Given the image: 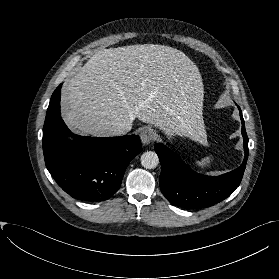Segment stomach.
<instances>
[{
	"label": "stomach",
	"mask_w": 279,
	"mask_h": 279,
	"mask_svg": "<svg viewBox=\"0 0 279 279\" xmlns=\"http://www.w3.org/2000/svg\"><path fill=\"white\" fill-rule=\"evenodd\" d=\"M199 121L203 123V121H202V119H201V116H200V118H199ZM180 136H186V135L183 134V133H181Z\"/></svg>",
	"instance_id": "0dacf381"
}]
</instances>
